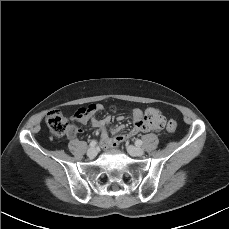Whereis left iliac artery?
<instances>
[{"instance_id": "left-iliac-artery-1", "label": "left iliac artery", "mask_w": 229, "mask_h": 229, "mask_svg": "<svg viewBox=\"0 0 229 229\" xmlns=\"http://www.w3.org/2000/svg\"><path fill=\"white\" fill-rule=\"evenodd\" d=\"M142 140L138 139L135 141L136 146H141L142 145Z\"/></svg>"}]
</instances>
